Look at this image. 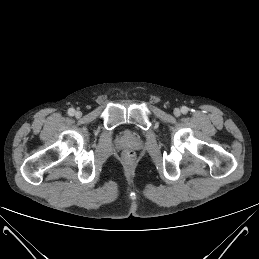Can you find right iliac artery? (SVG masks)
Wrapping results in <instances>:
<instances>
[{
  "mask_svg": "<svg viewBox=\"0 0 259 259\" xmlns=\"http://www.w3.org/2000/svg\"><path fill=\"white\" fill-rule=\"evenodd\" d=\"M68 114H69V116H73L75 114V110L73 108H70L68 110Z\"/></svg>",
  "mask_w": 259,
  "mask_h": 259,
  "instance_id": "right-iliac-artery-1",
  "label": "right iliac artery"
}]
</instances>
